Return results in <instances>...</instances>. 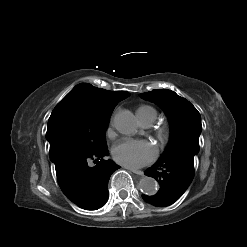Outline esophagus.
<instances>
[{
	"mask_svg": "<svg viewBox=\"0 0 247 247\" xmlns=\"http://www.w3.org/2000/svg\"><path fill=\"white\" fill-rule=\"evenodd\" d=\"M129 170L137 175L143 176V171L141 170H137V169H129Z\"/></svg>",
	"mask_w": 247,
	"mask_h": 247,
	"instance_id": "34e87169",
	"label": "esophagus"
}]
</instances>
